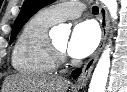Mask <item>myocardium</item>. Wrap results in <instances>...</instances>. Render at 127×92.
I'll use <instances>...</instances> for the list:
<instances>
[{"mask_svg": "<svg viewBox=\"0 0 127 92\" xmlns=\"http://www.w3.org/2000/svg\"><path fill=\"white\" fill-rule=\"evenodd\" d=\"M49 47L51 50V53L56 60L57 63H62L65 60V50L60 49L57 47V45L54 43L53 40L49 41Z\"/></svg>", "mask_w": 127, "mask_h": 92, "instance_id": "f54148a6", "label": "myocardium"}]
</instances>
